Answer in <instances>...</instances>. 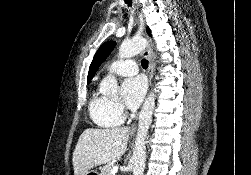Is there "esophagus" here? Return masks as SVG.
Listing matches in <instances>:
<instances>
[{
	"mask_svg": "<svg viewBox=\"0 0 251 175\" xmlns=\"http://www.w3.org/2000/svg\"><path fill=\"white\" fill-rule=\"evenodd\" d=\"M143 56L148 59V69H147V77H148V82H151L153 70H154V59H153V53L151 52V49L149 46L145 48L143 51ZM132 130H135V126L133 125Z\"/></svg>",
	"mask_w": 251,
	"mask_h": 175,
	"instance_id": "obj_1",
	"label": "esophagus"
}]
</instances>
